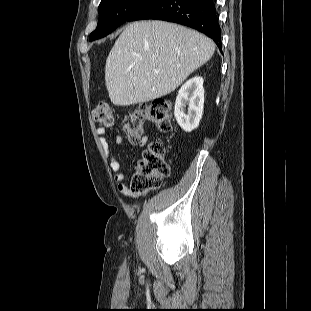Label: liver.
Here are the masks:
<instances>
[{
  "mask_svg": "<svg viewBox=\"0 0 311 311\" xmlns=\"http://www.w3.org/2000/svg\"><path fill=\"white\" fill-rule=\"evenodd\" d=\"M207 36L164 21L128 24L105 65V84L114 105L148 102L174 91L214 54Z\"/></svg>",
  "mask_w": 311,
  "mask_h": 311,
  "instance_id": "1",
  "label": "liver"
}]
</instances>
